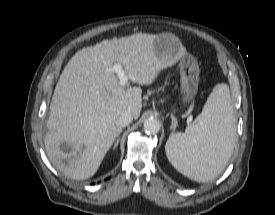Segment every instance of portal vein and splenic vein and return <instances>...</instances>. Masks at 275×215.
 Returning a JSON list of instances; mask_svg holds the SVG:
<instances>
[{
	"mask_svg": "<svg viewBox=\"0 0 275 215\" xmlns=\"http://www.w3.org/2000/svg\"><path fill=\"white\" fill-rule=\"evenodd\" d=\"M109 70L113 71L117 74V76L120 80L119 83L123 87L127 84L128 79H130V77L128 75H126L122 65L119 63L114 64Z\"/></svg>",
	"mask_w": 275,
	"mask_h": 215,
	"instance_id": "1",
	"label": "portal vein and splenic vein"
}]
</instances>
